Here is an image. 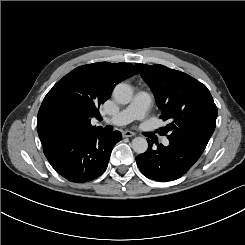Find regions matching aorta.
I'll list each match as a JSON object with an SVG mask.
<instances>
[{
    "label": "aorta",
    "mask_w": 245,
    "mask_h": 245,
    "mask_svg": "<svg viewBox=\"0 0 245 245\" xmlns=\"http://www.w3.org/2000/svg\"><path fill=\"white\" fill-rule=\"evenodd\" d=\"M113 97L119 104H128L133 97L132 88L125 83L117 84L113 90ZM131 145L137 154H142L148 149V142L143 137H135Z\"/></svg>",
    "instance_id": "aorta-1"
}]
</instances>
